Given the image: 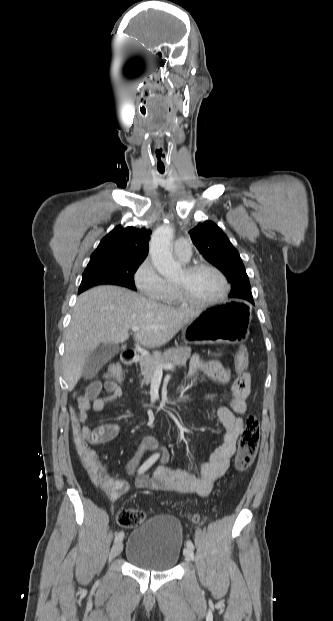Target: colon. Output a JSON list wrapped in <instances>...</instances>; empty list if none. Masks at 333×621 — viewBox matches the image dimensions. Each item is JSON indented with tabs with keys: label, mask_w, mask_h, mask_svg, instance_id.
<instances>
[{
	"label": "colon",
	"mask_w": 333,
	"mask_h": 621,
	"mask_svg": "<svg viewBox=\"0 0 333 621\" xmlns=\"http://www.w3.org/2000/svg\"><path fill=\"white\" fill-rule=\"evenodd\" d=\"M248 352L245 347L238 350L236 356L235 375L241 376L246 372L248 365ZM106 375L117 382L123 381V372L119 365L111 364L106 369ZM71 428L74 446L77 455L92 482L103 490L107 495L113 491L112 479L98 461L94 451L89 447L88 441L82 433V427L74 412L71 413ZM260 441V426L256 417H247L245 427L239 439L238 452L235 460V468L239 472L247 470L254 462ZM145 519L142 511L137 509H124L119 512L117 522L121 527L132 528L140 525Z\"/></svg>",
	"instance_id": "colon-1"
}]
</instances>
